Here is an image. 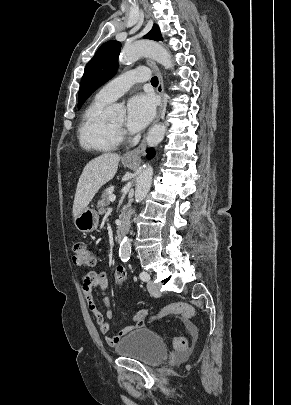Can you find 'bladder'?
<instances>
[{"label": "bladder", "mask_w": 291, "mask_h": 405, "mask_svg": "<svg viewBox=\"0 0 291 405\" xmlns=\"http://www.w3.org/2000/svg\"><path fill=\"white\" fill-rule=\"evenodd\" d=\"M115 350L120 356L135 359L148 366H157L168 356L163 338L148 328L133 330L116 344Z\"/></svg>", "instance_id": "bladder-1"}]
</instances>
